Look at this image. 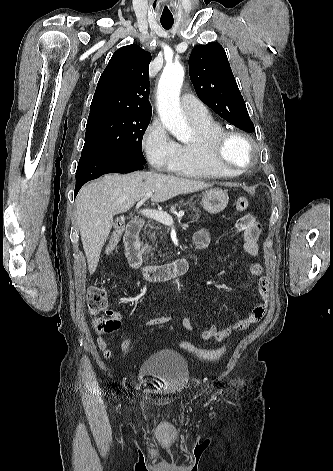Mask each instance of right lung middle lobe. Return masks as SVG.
<instances>
[{
    "mask_svg": "<svg viewBox=\"0 0 333 471\" xmlns=\"http://www.w3.org/2000/svg\"><path fill=\"white\" fill-rule=\"evenodd\" d=\"M151 115L106 113L88 118L81 158L111 156L145 164L142 138Z\"/></svg>",
    "mask_w": 333,
    "mask_h": 471,
    "instance_id": "right-lung-middle-lobe-1",
    "label": "right lung middle lobe"
}]
</instances>
